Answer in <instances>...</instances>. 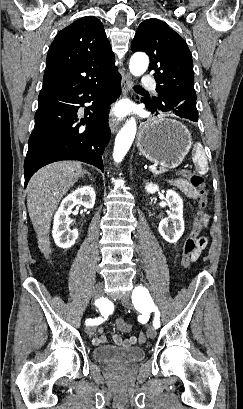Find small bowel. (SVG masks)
I'll return each instance as SVG.
<instances>
[{
    "label": "small bowel",
    "mask_w": 243,
    "mask_h": 409,
    "mask_svg": "<svg viewBox=\"0 0 243 409\" xmlns=\"http://www.w3.org/2000/svg\"><path fill=\"white\" fill-rule=\"evenodd\" d=\"M172 185L180 189L184 194H186L190 198H198L199 193L196 189H194L189 182L183 179H178L171 181ZM208 221V216L205 214L204 217V225L207 224ZM207 246V239L205 237L200 236L198 241H197V246L195 251L192 254V260L196 261L202 254V252L206 249ZM111 313V307L107 306L106 309L104 310V318L108 317V315ZM103 319V318H102ZM104 320V319H103ZM105 330L103 327L98 328V333L99 335L94 337L92 342L94 345H101L106 342L108 336L104 333ZM112 340L120 346L124 347H131L137 344L139 341V336H131L129 338L123 339L119 335H112L111 336Z\"/></svg>",
    "instance_id": "small-bowel-1"
}]
</instances>
